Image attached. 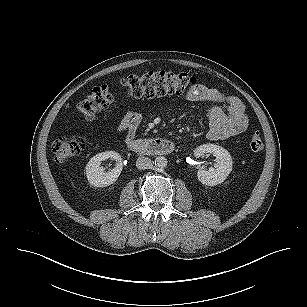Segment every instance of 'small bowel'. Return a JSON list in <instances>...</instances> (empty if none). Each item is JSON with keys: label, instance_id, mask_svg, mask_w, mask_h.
I'll use <instances>...</instances> for the list:
<instances>
[{"label": "small bowel", "instance_id": "small-bowel-1", "mask_svg": "<svg viewBox=\"0 0 307 307\" xmlns=\"http://www.w3.org/2000/svg\"><path fill=\"white\" fill-rule=\"evenodd\" d=\"M186 98L206 105L209 121L207 138L221 141L241 134L248 127L249 119L243 103L234 96L225 95L216 88L196 84ZM142 121V115L136 111L128 112L117 124L116 129L126 135V140L135 138Z\"/></svg>", "mask_w": 307, "mask_h": 307}]
</instances>
